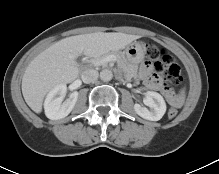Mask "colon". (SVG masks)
<instances>
[{"label":"colon","instance_id":"5ec220e1","mask_svg":"<svg viewBox=\"0 0 219 174\" xmlns=\"http://www.w3.org/2000/svg\"><path fill=\"white\" fill-rule=\"evenodd\" d=\"M147 54L151 61H153L154 70L164 80L178 85L182 82L183 77L181 73L180 65L176 60L168 54L166 51L157 48L154 45H149L147 48ZM178 111L175 108L168 110V117H176Z\"/></svg>","mask_w":219,"mask_h":174}]
</instances>
